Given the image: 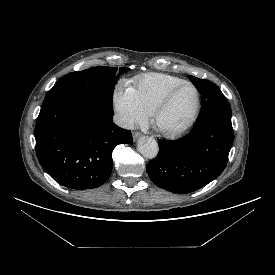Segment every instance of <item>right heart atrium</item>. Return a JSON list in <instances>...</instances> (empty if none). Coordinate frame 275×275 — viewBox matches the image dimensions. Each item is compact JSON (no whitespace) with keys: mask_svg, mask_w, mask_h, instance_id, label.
Wrapping results in <instances>:
<instances>
[{"mask_svg":"<svg viewBox=\"0 0 275 275\" xmlns=\"http://www.w3.org/2000/svg\"><path fill=\"white\" fill-rule=\"evenodd\" d=\"M113 101L120 122L125 127H131L148 116V112L140 103L134 87L127 83L117 85L113 94Z\"/></svg>","mask_w":275,"mask_h":275,"instance_id":"1","label":"right heart atrium"}]
</instances>
